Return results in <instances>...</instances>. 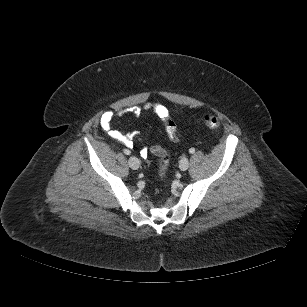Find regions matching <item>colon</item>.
I'll return each mask as SVG.
<instances>
[{
	"instance_id": "1",
	"label": "colon",
	"mask_w": 307,
	"mask_h": 307,
	"mask_svg": "<svg viewBox=\"0 0 307 307\" xmlns=\"http://www.w3.org/2000/svg\"><path fill=\"white\" fill-rule=\"evenodd\" d=\"M202 120L203 123L211 129H217L221 125L220 119L214 115H209V114L204 115ZM164 124L168 137L173 141H177L178 140L177 130L173 120L169 116H167L164 119ZM150 151L152 152V154H154L157 157L159 174L161 177H164L166 175V171L169 165L168 153L159 145L151 146Z\"/></svg>"
}]
</instances>
